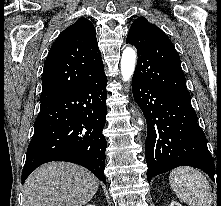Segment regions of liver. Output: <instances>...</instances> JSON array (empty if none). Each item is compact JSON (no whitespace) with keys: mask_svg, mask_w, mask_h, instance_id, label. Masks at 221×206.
<instances>
[{"mask_svg":"<svg viewBox=\"0 0 221 206\" xmlns=\"http://www.w3.org/2000/svg\"><path fill=\"white\" fill-rule=\"evenodd\" d=\"M98 187V179L84 167L66 162L47 163L28 177L25 206H83Z\"/></svg>","mask_w":221,"mask_h":206,"instance_id":"1","label":"liver"}]
</instances>
